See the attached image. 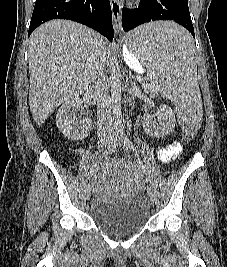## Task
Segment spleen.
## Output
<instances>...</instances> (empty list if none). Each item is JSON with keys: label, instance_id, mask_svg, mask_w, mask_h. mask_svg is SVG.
<instances>
[{"label": "spleen", "instance_id": "spleen-1", "mask_svg": "<svg viewBox=\"0 0 227 267\" xmlns=\"http://www.w3.org/2000/svg\"><path fill=\"white\" fill-rule=\"evenodd\" d=\"M125 47L144 63L145 77L161 81L160 88L169 99L187 106H177L180 115H202L197 81L194 38L174 19H153L126 31ZM157 63V72H155ZM192 129H199L204 116H186Z\"/></svg>", "mask_w": 227, "mask_h": 267}]
</instances>
